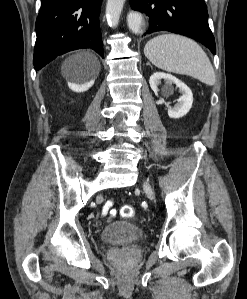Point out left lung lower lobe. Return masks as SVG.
I'll use <instances>...</instances> for the list:
<instances>
[{"mask_svg": "<svg viewBox=\"0 0 247 299\" xmlns=\"http://www.w3.org/2000/svg\"><path fill=\"white\" fill-rule=\"evenodd\" d=\"M130 5L133 10L149 16L147 33L164 30L185 35L216 53L204 0H130Z\"/></svg>", "mask_w": 247, "mask_h": 299, "instance_id": "left-lung-lower-lobe-1", "label": "left lung lower lobe"}]
</instances>
